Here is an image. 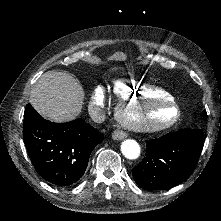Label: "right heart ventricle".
Masks as SVG:
<instances>
[{"mask_svg": "<svg viewBox=\"0 0 221 221\" xmlns=\"http://www.w3.org/2000/svg\"><path fill=\"white\" fill-rule=\"evenodd\" d=\"M111 89L114 95L121 101L148 102L149 99L154 102H167L171 100L173 92L169 88L160 89L158 85L150 83L146 80L121 76L114 80Z\"/></svg>", "mask_w": 221, "mask_h": 221, "instance_id": "obj_1", "label": "right heart ventricle"}]
</instances>
